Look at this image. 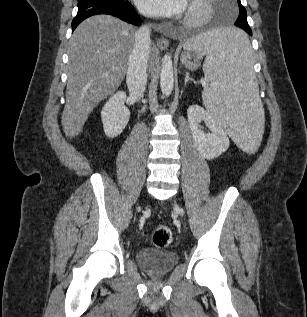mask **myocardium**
Listing matches in <instances>:
<instances>
[{
  "instance_id": "1",
  "label": "myocardium",
  "mask_w": 307,
  "mask_h": 317,
  "mask_svg": "<svg viewBox=\"0 0 307 317\" xmlns=\"http://www.w3.org/2000/svg\"><path fill=\"white\" fill-rule=\"evenodd\" d=\"M213 12L210 0H191L183 23L187 26L205 24Z\"/></svg>"
}]
</instances>
